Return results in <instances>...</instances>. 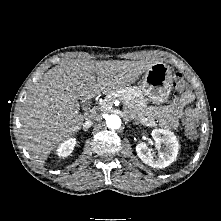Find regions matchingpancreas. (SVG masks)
I'll list each match as a JSON object with an SVG mask.
<instances>
[{
	"instance_id": "cf45deb5",
	"label": "pancreas",
	"mask_w": 221,
	"mask_h": 221,
	"mask_svg": "<svg viewBox=\"0 0 221 221\" xmlns=\"http://www.w3.org/2000/svg\"><path fill=\"white\" fill-rule=\"evenodd\" d=\"M115 99H120L126 110H136L138 112V120L141 124L149 127L156 126L154 118L148 115L144 110L145 105L140 100V92L137 87H127L107 94L100 103V109H111Z\"/></svg>"
}]
</instances>
